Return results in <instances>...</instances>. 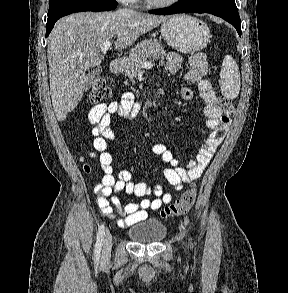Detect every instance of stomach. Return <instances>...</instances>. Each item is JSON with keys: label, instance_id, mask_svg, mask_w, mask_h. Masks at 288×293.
Instances as JSON below:
<instances>
[{"label": "stomach", "instance_id": "stomach-1", "mask_svg": "<svg viewBox=\"0 0 288 293\" xmlns=\"http://www.w3.org/2000/svg\"><path fill=\"white\" fill-rule=\"evenodd\" d=\"M161 34L169 46L182 53L204 49L211 37L203 21L184 14L170 16L164 21Z\"/></svg>", "mask_w": 288, "mask_h": 293}]
</instances>
